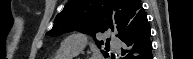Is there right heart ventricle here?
Instances as JSON below:
<instances>
[{"mask_svg":"<svg viewBox=\"0 0 193 59\" xmlns=\"http://www.w3.org/2000/svg\"><path fill=\"white\" fill-rule=\"evenodd\" d=\"M77 53L60 48L51 59H72Z\"/></svg>","mask_w":193,"mask_h":59,"instance_id":"1","label":"right heart ventricle"}]
</instances>
